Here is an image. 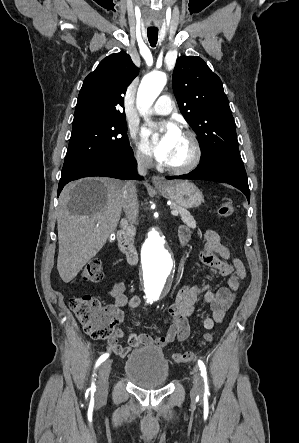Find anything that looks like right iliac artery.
<instances>
[{"label":"right iliac artery","instance_id":"obj_1","mask_svg":"<svg viewBox=\"0 0 299 443\" xmlns=\"http://www.w3.org/2000/svg\"><path fill=\"white\" fill-rule=\"evenodd\" d=\"M147 303H148V301H147ZM108 357H109V353H104L103 355H101V356L99 357V359L97 360L96 364H95V368H97V367H98L102 362H104ZM93 376H94V375H93ZM90 390H91L92 392H95V390H96V386H95V382H94V380H93V382H92V384H91Z\"/></svg>","mask_w":299,"mask_h":443}]
</instances>
